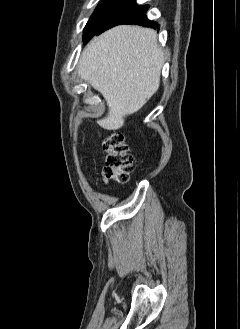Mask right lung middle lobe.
I'll return each instance as SVG.
<instances>
[{
  "instance_id": "dd1d6c3e",
  "label": "right lung middle lobe",
  "mask_w": 240,
  "mask_h": 329,
  "mask_svg": "<svg viewBox=\"0 0 240 329\" xmlns=\"http://www.w3.org/2000/svg\"><path fill=\"white\" fill-rule=\"evenodd\" d=\"M120 2L121 0H103L98 4L96 10L94 11L93 15L91 16L84 28V42H87L93 36L95 30L100 25L102 20Z\"/></svg>"
}]
</instances>
